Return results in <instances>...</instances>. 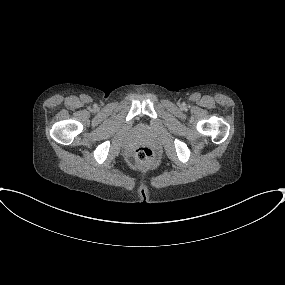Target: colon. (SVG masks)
Returning a JSON list of instances; mask_svg holds the SVG:
<instances>
[{
    "label": "colon",
    "instance_id": "5ec220e1",
    "mask_svg": "<svg viewBox=\"0 0 285 285\" xmlns=\"http://www.w3.org/2000/svg\"><path fill=\"white\" fill-rule=\"evenodd\" d=\"M134 157L137 164L145 167H150L155 162V156L153 150L151 149L150 146L145 144L140 145L136 148L134 152Z\"/></svg>",
    "mask_w": 285,
    "mask_h": 285
}]
</instances>
